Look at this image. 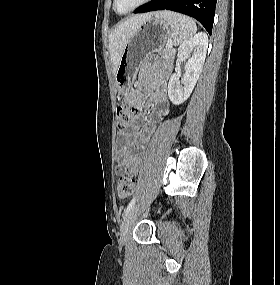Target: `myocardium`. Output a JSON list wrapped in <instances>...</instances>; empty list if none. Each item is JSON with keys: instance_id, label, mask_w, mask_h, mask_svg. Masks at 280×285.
<instances>
[{"instance_id": "myocardium-1", "label": "myocardium", "mask_w": 280, "mask_h": 285, "mask_svg": "<svg viewBox=\"0 0 280 285\" xmlns=\"http://www.w3.org/2000/svg\"><path fill=\"white\" fill-rule=\"evenodd\" d=\"M117 1L118 0H113V8L115 10L116 13L120 14V15H125V14H129L135 10H137L138 8H140L141 6H143L144 4L148 3L150 0H141L139 3H137L134 7H132L131 9L125 11V12H120L117 9Z\"/></svg>"}]
</instances>
